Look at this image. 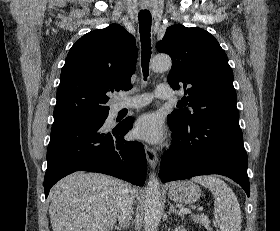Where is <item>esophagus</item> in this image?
<instances>
[{
	"mask_svg": "<svg viewBox=\"0 0 280 231\" xmlns=\"http://www.w3.org/2000/svg\"><path fill=\"white\" fill-rule=\"evenodd\" d=\"M142 8L148 9V7H142ZM144 148H145V154H146V159L148 164L152 169L156 168L158 163V156L156 151L153 148L149 147L148 145H144Z\"/></svg>",
	"mask_w": 280,
	"mask_h": 231,
	"instance_id": "34e87169",
	"label": "esophagus"
}]
</instances>
